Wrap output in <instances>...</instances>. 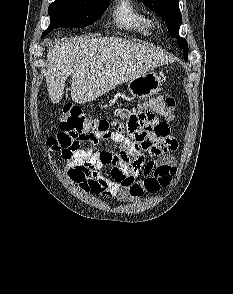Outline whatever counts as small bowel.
<instances>
[{
    "label": "small bowel",
    "instance_id": "obj_1",
    "mask_svg": "<svg viewBox=\"0 0 233 294\" xmlns=\"http://www.w3.org/2000/svg\"><path fill=\"white\" fill-rule=\"evenodd\" d=\"M120 113H133L123 114L127 120H119V124L111 121L116 129L124 125L126 136L114 132L104 138L119 144L118 154L99 149L81 152L64 164V172L86 193L128 202L170 184L176 160L169 153L177 149L178 143L170 134L166 117H161V110L120 108ZM52 139L47 141L50 150ZM144 154L152 158L146 160ZM108 165L111 175L104 177L100 172Z\"/></svg>",
    "mask_w": 233,
    "mask_h": 294
}]
</instances>
